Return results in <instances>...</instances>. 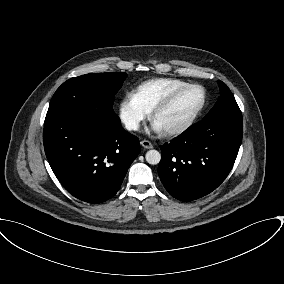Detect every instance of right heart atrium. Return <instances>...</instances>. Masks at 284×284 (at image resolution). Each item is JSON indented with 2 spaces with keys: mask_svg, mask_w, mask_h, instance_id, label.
<instances>
[{
  "mask_svg": "<svg viewBox=\"0 0 284 284\" xmlns=\"http://www.w3.org/2000/svg\"><path fill=\"white\" fill-rule=\"evenodd\" d=\"M118 115L127 130L135 131L148 117L149 112L140 104L133 93H127L119 103Z\"/></svg>",
  "mask_w": 284,
  "mask_h": 284,
  "instance_id": "1",
  "label": "right heart atrium"
}]
</instances>
